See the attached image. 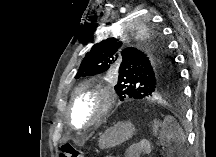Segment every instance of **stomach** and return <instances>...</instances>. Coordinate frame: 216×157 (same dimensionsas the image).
<instances>
[{"instance_id":"stomach-1","label":"stomach","mask_w":216,"mask_h":157,"mask_svg":"<svg viewBox=\"0 0 216 157\" xmlns=\"http://www.w3.org/2000/svg\"><path fill=\"white\" fill-rule=\"evenodd\" d=\"M135 132V127L130 122H119L105 130L99 138L100 148H110L125 142Z\"/></svg>"}]
</instances>
